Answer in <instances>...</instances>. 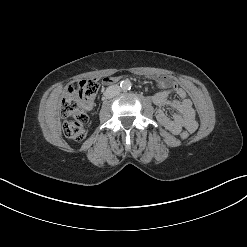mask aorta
Wrapping results in <instances>:
<instances>
[{
	"mask_svg": "<svg viewBox=\"0 0 247 247\" xmlns=\"http://www.w3.org/2000/svg\"><path fill=\"white\" fill-rule=\"evenodd\" d=\"M120 86H121V89L124 91L130 90L131 89V82L128 79L123 80L121 82Z\"/></svg>",
	"mask_w": 247,
	"mask_h": 247,
	"instance_id": "aorta-1",
	"label": "aorta"
}]
</instances>
